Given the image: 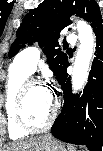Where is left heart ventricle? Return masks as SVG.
<instances>
[{
    "instance_id": "left-heart-ventricle-1",
    "label": "left heart ventricle",
    "mask_w": 103,
    "mask_h": 151,
    "mask_svg": "<svg viewBox=\"0 0 103 151\" xmlns=\"http://www.w3.org/2000/svg\"><path fill=\"white\" fill-rule=\"evenodd\" d=\"M52 108V98L43 86H32L26 96L24 116L33 126L40 127L48 120Z\"/></svg>"
}]
</instances>
